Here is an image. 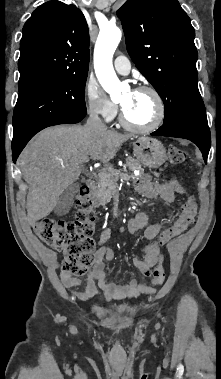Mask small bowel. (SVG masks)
<instances>
[{"mask_svg":"<svg viewBox=\"0 0 221 379\" xmlns=\"http://www.w3.org/2000/svg\"><path fill=\"white\" fill-rule=\"evenodd\" d=\"M137 191L144 197L152 199L160 197L167 203H173L175 194H184L183 187L174 179L162 183H153L148 177H144L136 185ZM163 223H148V216L139 212L128 222V231L132 234L143 231L147 240H154L160 233ZM111 228L106 227L100 236L99 247L94 253V259L90 271L85 277V291L72 292L78 299L89 301L93 299L100 289L108 301L134 300L144 294H151L153 290L145 282H139L133 278L127 284L118 283L109 279L104 268L103 260L108 262L115 258L114 250L106 245L110 238ZM142 258L133 260L134 266L144 278L151 275L152 267L158 261L160 248L156 242H150L143 248ZM61 280L67 289H72L81 284V279L69 273H61Z\"/></svg>","mask_w":221,"mask_h":379,"instance_id":"obj_1","label":"small bowel"}]
</instances>
